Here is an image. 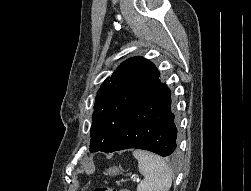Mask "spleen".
Returning a JSON list of instances; mask_svg holds the SVG:
<instances>
[{"label":"spleen","mask_w":251,"mask_h":191,"mask_svg":"<svg viewBox=\"0 0 251 191\" xmlns=\"http://www.w3.org/2000/svg\"><path fill=\"white\" fill-rule=\"evenodd\" d=\"M134 157L138 159V169L144 175L137 185V191H169L172 183V171L160 155L145 149H135Z\"/></svg>","instance_id":"obj_1"}]
</instances>
